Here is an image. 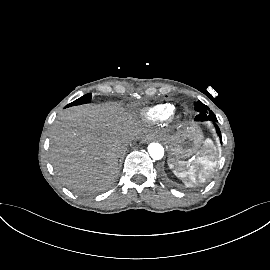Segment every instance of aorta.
I'll use <instances>...</instances> for the list:
<instances>
[{
  "instance_id": "762f6f07",
  "label": "aorta",
  "mask_w": 270,
  "mask_h": 270,
  "mask_svg": "<svg viewBox=\"0 0 270 270\" xmlns=\"http://www.w3.org/2000/svg\"><path fill=\"white\" fill-rule=\"evenodd\" d=\"M148 153L154 160H160L164 156V148L159 143H150L148 145Z\"/></svg>"
}]
</instances>
